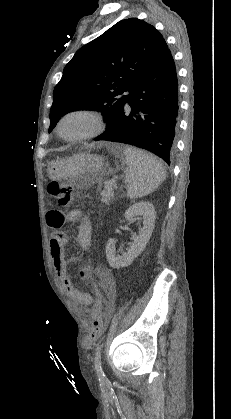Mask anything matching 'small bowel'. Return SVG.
Masks as SVG:
<instances>
[{"mask_svg": "<svg viewBox=\"0 0 231 419\" xmlns=\"http://www.w3.org/2000/svg\"><path fill=\"white\" fill-rule=\"evenodd\" d=\"M80 217V212L73 210L68 214L64 215L58 211H52L47 214V223L52 228H59L66 222H74ZM62 222L60 226L59 223ZM91 224L87 218H84L80 224L78 232V243L79 245L87 250L91 243ZM68 242V236L62 231L54 232L50 240V255L57 277L62 284L65 292L71 297V299L78 305L80 312H86L87 308L93 304L94 298L89 293L75 288L70 280L68 274V260L65 257V246ZM98 276L101 281V285L105 290L108 297V304L110 308L113 307L114 303V284L110 275L107 272L98 270Z\"/></svg>", "mask_w": 231, "mask_h": 419, "instance_id": "c3829d8e", "label": "small bowel"}]
</instances>
